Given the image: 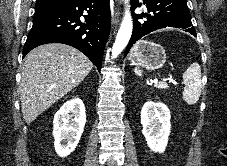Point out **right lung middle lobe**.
Segmentation results:
<instances>
[{"mask_svg": "<svg viewBox=\"0 0 227 166\" xmlns=\"http://www.w3.org/2000/svg\"><path fill=\"white\" fill-rule=\"evenodd\" d=\"M48 8H50V7H48V6H35V13L42 12V11L48 9Z\"/></svg>", "mask_w": 227, "mask_h": 166, "instance_id": "right-lung-middle-lobe-1", "label": "right lung middle lobe"}]
</instances>
